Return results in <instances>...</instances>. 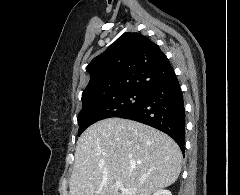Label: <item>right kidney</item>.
<instances>
[{"label": "right kidney", "instance_id": "ca27d5eb", "mask_svg": "<svg viewBox=\"0 0 240 195\" xmlns=\"http://www.w3.org/2000/svg\"><path fill=\"white\" fill-rule=\"evenodd\" d=\"M153 195H172V193L169 189H158V191H155Z\"/></svg>", "mask_w": 240, "mask_h": 195}]
</instances>
